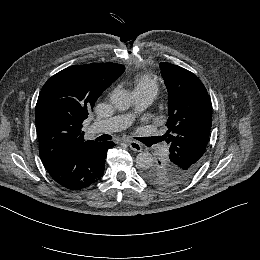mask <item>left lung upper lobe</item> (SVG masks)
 Segmentation results:
<instances>
[{"label":"left lung upper lobe","mask_w":260,"mask_h":260,"mask_svg":"<svg viewBox=\"0 0 260 260\" xmlns=\"http://www.w3.org/2000/svg\"><path fill=\"white\" fill-rule=\"evenodd\" d=\"M168 90L169 159L143 171L148 182L161 186L180 185L201 166L212 125V104L207 90L192 72L169 63H160Z\"/></svg>","instance_id":"left-lung-upper-lobe-1"}]
</instances>
